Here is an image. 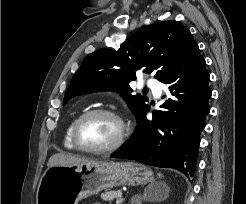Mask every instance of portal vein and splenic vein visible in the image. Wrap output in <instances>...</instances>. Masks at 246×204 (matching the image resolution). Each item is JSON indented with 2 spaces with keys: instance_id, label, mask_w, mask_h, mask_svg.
Here are the masks:
<instances>
[{
  "instance_id": "18ae733b",
  "label": "portal vein and splenic vein",
  "mask_w": 246,
  "mask_h": 204,
  "mask_svg": "<svg viewBox=\"0 0 246 204\" xmlns=\"http://www.w3.org/2000/svg\"><path fill=\"white\" fill-rule=\"evenodd\" d=\"M124 199L123 198H119L118 200H116V204H121L123 203Z\"/></svg>"
}]
</instances>
